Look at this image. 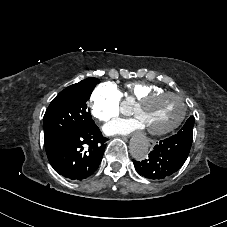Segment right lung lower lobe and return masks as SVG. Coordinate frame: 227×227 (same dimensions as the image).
Returning <instances> with one entry per match:
<instances>
[{
	"label": "right lung lower lobe",
	"mask_w": 227,
	"mask_h": 227,
	"mask_svg": "<svg viewBox=\"0 0 227 227\" xmlns=\"http://www.w3.org/2000/svg\"><path fill=\"white\" fill-rule=\"evenodd\" d=\"M106 141L94 123L57 135L45 142V150L50 164L60 175L80 180L98 169Z\"/></svg>",
	"instance_id": "98d812e1"
}]
</instances>
